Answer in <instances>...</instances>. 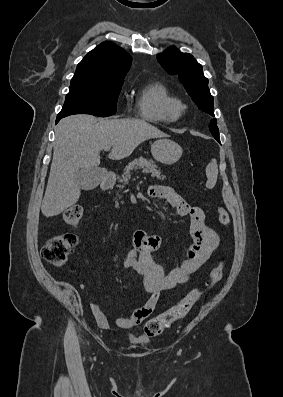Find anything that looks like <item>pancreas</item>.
<instances>
[{
	"instance_id": "cf45deb5",
	"label": "pancreas",
	"mask_w": 283,
	"mask_h": 397,
	"mask_svg": "<svg viewBox=\"0 0 283 397\" xmlns=\"http://www.w3.org/2000/svg\"><path fill=\"white\" fill-rule=\"evenodd\" d=\"M142 169V172L145 174L151 173L152 177H156L157 179L163 178L160 173V169L156 163L153 162L151 159H146L144 157H139L138 159L133 160L130 162L125 170L124 173L119 178V185L118 187L123 189L126 184H128L129 179L131 178L132 171Z\"/></svg>"
}]
</instances>
